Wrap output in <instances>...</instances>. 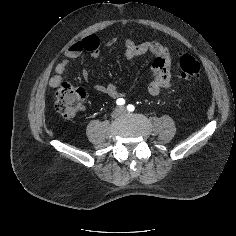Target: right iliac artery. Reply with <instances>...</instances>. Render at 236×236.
I'll return each instance as SVG.
<instances>
[{"instance_id":"obj_1","label":"right iliac artery","mask_w":236,"mask_h":236,"mask_svg":"<svg viewBox=\"0 0 236 236\" xmlns=\"http://www.w3.org/2000/svg\"><path fill=\"white\" fill-rule=\"evenodd\" d=\"M116 104L119 106H122L125 104V100L123 98H119L116 100Z\"/></svg>"}]
</instances>
